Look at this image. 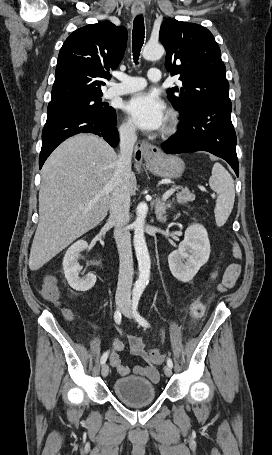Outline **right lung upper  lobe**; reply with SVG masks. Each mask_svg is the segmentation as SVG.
<instances>
[{"instance_id":"obj_1","label":"right lung upper lobe","mask_w":272,"mask_h":455,"mask_svg":"<svg viewBox=\"0 0 272 455\" xmlns=\"http://www.w3.org/2000/svg\"><path fill=\"white\" fill-rule=\"evenodd\" d=\"M127 30L109 21L87 25L74 31L58 56L51 101L102 94L104 79L116 69L127 44Z\"/></svg>"}]
</instances>
